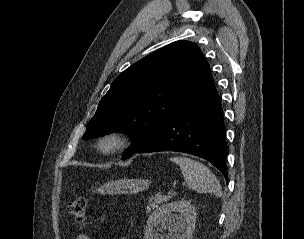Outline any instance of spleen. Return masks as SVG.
Here are the masks:
<instances>
[{"instance_id": "1", "label": "spleen", "mask_w": 304, "mask_h": 239, "mask_svg": "<svg viewBox=\"0 0 304 239\" xmlns=\"http://www.w3.org/2000/svg\"><path fill=\"white\" fill-rule=\"evenodd\" d=\"M170 160L179 165L190 189L198 193H212L221 196L222 189L217 178L205 165L185 157H172Z\"/></svg>"}]
</instances>
